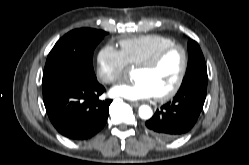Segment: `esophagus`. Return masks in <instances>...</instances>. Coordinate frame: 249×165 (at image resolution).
Instances as JSON below:
<instances>
[{
	"label": "esophagus",
	"mask_w": 249,
	"mask_h": 165,
	"mask_svg": "<svg viewBox=\"0 0 249 165\" xmlns=\"http://www.w3.org/2000/svg\"><path fill=\"white\" fill-rule=\"evenodd\" d=\"M130 105L132 107H138L140 105V103H138V102H130Z\"/></svg>",
	"instance_id": "esophagus-1"
}]
</instances>
